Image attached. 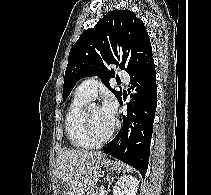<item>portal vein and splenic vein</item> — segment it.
Returning a JSON list of instances; mask_svg holds the SVG:
<instances>
[{
    "instance_id": "obj_1",
    "label": "portal vein and splenic vein",
    "mask_w": 211,
    "mask_h": 195,
    "mask_svg": "<svg viewBox=\"0 0 211 195\" xmlns=\"http://www.w3.org/2000/svg\"><path fill=\"white\" fill-rule=\"evenodd\" d=\"M104 193H105V189H104V188H101V189L98 191L97 195H104Z\"/></svg>"
}]
</instances>
